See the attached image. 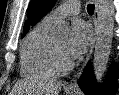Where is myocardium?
Returning a JSON list of instances; mask_svg holds the SVG:
<instances>
[{"label":"myocardium","mask_w":119,"mask_h":95,"mask_svg":"<svg viewBox=\"0 0 119 95\" xmlns=\"http://www.w3.org/2000/svg\"><path fill=\"white\" fill-rule=\"evenodd\" d=\"M53 62L57 70H68L73 66V62L62 55L56 41L53 45Z\"/></svg>","instance_id":"f54148a6"}]
</instances>
